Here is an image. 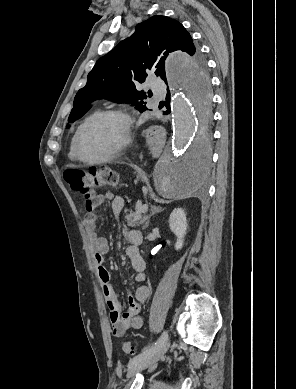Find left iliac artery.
Segmentation results:
<instances>
[{
    "label": "left iliac artery",
    "instance_id": "obj_1",
    "mask_svg": "<svg viewBox=\"0 0 296 389\" xmlns=\"http://www.w3.org/2000/svg\"><path fill=\"white\" fill-rule=\"evenodd\" d=\"M168 338L167 332H163L160 338L150 347L145 348L139 355L135 356L133 359L129 361L128 366L131 367L135 364H137L142 359H145L152 355L157 348Z\"/></svg>",
    "mask_w": 296,
    "mask_h": 389
}]
</instances>
